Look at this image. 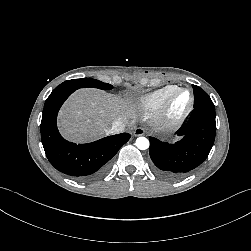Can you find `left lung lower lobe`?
I'll return each instance as SVG.
<instances>
[{"label": "left lung lower lobe", "instance_id": "obj_1", "mask_svg": "<svg viewBox=\"0 0 251 251\" xmlns=\"http://www.w3.org/2000/svg\"><path fill=\"white\" fill-rule=\"evenodd\" d=\"M215 133V110L194 108L187 124L177 131L179 141L169 144L149 138L154 170L168 179L187 175L208 157Z\"/></svg>", "mask_w": 251, "mask_h": 251}]
</instances>
